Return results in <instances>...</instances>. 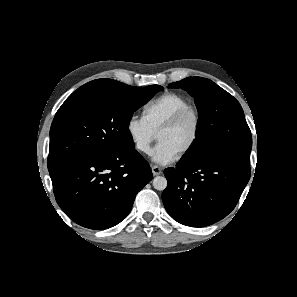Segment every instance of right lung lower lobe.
Masks as SVG:
<instances>
[{
	"instance_id": "right-lung-lower-lobe-1",
	"label": "right lung lower lobe",
	"mask_w": 297,
	"mask_h": 297,
	"mask_svg": "<svg viewBox=\"0 0 297 297\" xmlns=\"http://www.w3.org/2000/svg\"><path fill=\"white\" fill-rule=\"evenodd\" d=\"M49 173L61 209L77 224L95 230L120 223L153 177L134 148L73 156Z\"/></svg>"
}]
</instances>
